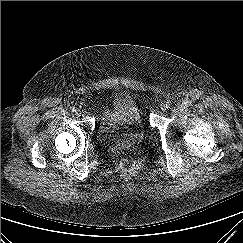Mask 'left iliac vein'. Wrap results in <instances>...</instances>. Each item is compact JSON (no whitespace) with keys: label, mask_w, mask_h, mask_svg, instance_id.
<instances>
[{"label":"left iliac vein","mask_w":243,"mask_h":243,"mask_svg":"<svg viewBox=\"0 0 243 243\" xmlns=\"http://www.w3.org/2000/svg\"><path fill=\"white\" fill-rule=\"evenodd\" d=\"M160 109H161L162 111H165V110H166V105H165V104H162V105L160 106Z\"/></svg>","instance_id":"obj_1"}]
</instances>
